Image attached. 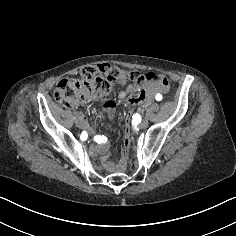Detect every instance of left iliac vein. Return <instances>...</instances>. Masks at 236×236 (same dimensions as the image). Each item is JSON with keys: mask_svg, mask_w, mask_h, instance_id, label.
Segmentation results:
<instances>
[{"mask_svg": "<svg viewBox=\"0 0 236 236\" xmlns=\"http://www.w3.org/2000/svg\"><path fill=\"white\" fill-rule=\"evenodd\" d=\"M147 125H148V122L145 119H142L141 124L136 125V126H137L138 129L141 130V129L145 128Z\"/></svg>", "mask_w": 236, "mask_h": 236, "instance_id": "4c4485c4", "label": "left iliac vein"}]
</instances>
